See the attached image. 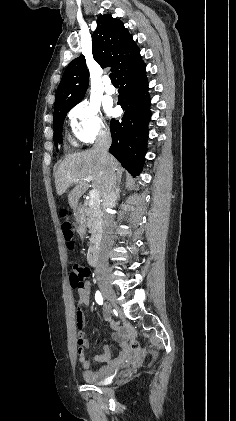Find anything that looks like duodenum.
<instances>
[{
    "label": "duodenum",
    "mask_w": 236,
    "mask_h": 421,
    "mask_svg": "<svg viewBox=\"0 0 236 421\" xmlns=\"http://www.w3.org/2000/svg\"><path fill=\"white\" fill-rule=\"evenodd\" d=\"M88 261L92 266L98 265V250L95 246H92L88 251ZM122 345L126 348L125 343L123 342ZM96 359L100 362H105L109 360V356L104 353L96 357ZM126 359V353H121L116 359L111 361L107 367L101 368L97 371L90 370V378H97L105 375L111 374L115 368L121 364Z\"/></svg>",
    "instance_id": "410a0bca"
}]
</instances>
